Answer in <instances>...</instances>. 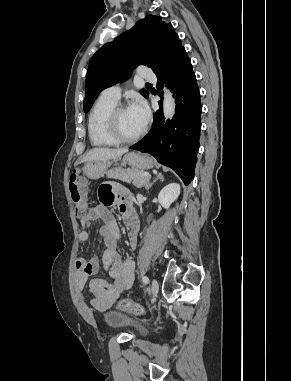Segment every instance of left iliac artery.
<instances>
[{"mask_svg":"<svg viewBox=\"0 0 291 381\" xmlns=\"http://www.w3.org/2000/svg\"><path fill=\"white\" fill-rule=\"evenodd\" d=\"M142 281H143L144 283L148 284V283H149V278H148L147 276H143V277H142Z\"/></svg>","mask_w":291,"mask_h":381,"instance_id":"obj_1","label":"left iliac artery"}]
</instances>
